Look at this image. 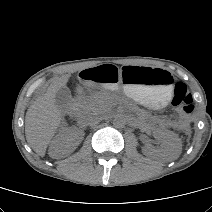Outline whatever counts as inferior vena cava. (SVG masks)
Here are the masks:
<instances>
[{
	"instance_id": "602c4592",
	"label": "inferior vena cava",
	"mask_w": 212,
	"mask_h": 212,
	"mask_svg": "<svg viewBox=\"0 0 212 212\" xmlns=\"http://www.w3.org/2000/svg\"><path fill=\"white\" fill-rule=\"evenodd\" d=\"M102 119H103V117L96 113H88L84 117V123L86 125L92 126V125H96V124L100 123L102 121Z\"/></svg>"
}]
</instances>
